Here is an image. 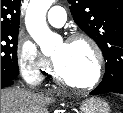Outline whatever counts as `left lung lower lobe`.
I'll return each instance as SVG.
<instances>
[{"label":"left lung lower lobe","mask_w":123,"mask_h":113,"mask_svg":"<svg viewBox=\"0 0 123 113\" xmlns=\"http://www.w3.org/2000/svg\"><path fill=\"white\" fill-rule=\"evenodd\" d=\"M108 92L123 94V83H120L113 88L105 87L99 84L98 87L95 90H93L90 94L98 95V94H103V93H108Z\"/></svg>","instance_id":"left-lung-lower-lobe-1"}]
</instances>
